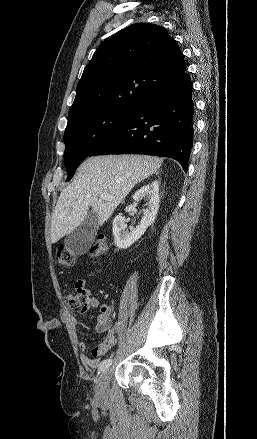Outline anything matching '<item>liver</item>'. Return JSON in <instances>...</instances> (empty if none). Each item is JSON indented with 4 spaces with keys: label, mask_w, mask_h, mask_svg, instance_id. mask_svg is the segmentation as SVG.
Returning a JSON list of instances; mask_svg holds the SVG:
<instances>
[{
    "label": "liver",
    "mask_w": 257,
    "mask_h": 439,
    "mask_svg": "<svg viewBox=\"0 0 257 439\" xmlns=\"http://www.w3.org/2000/svg\"><path fill=\"white\" fill-rule=\"evenodd\" d=\"M162 161L147 155H103L85 160L74 181L58 198L52 213L51 242L56 243L76 229L90 207L98 218V225H103L131 189L156 172ZM103 193L113 199H98Z\"/></svg>",
    "instance_id": "6515ba94"
}]
</instances>
